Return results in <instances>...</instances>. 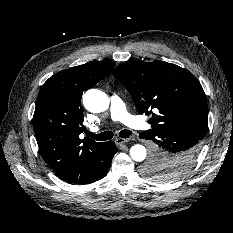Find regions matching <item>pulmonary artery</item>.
<instances>
[{
	"label": "pulmonary artery",
	"instance_id": "1",
	"mask_svg": "<svg viewBox=\"0 0 233 233\" xmlns=\"http://www.w3.org/2000/svg\"><path fill=\"white\" fill-rule=\"evenodd\" d=\"M110 113L113 121H120L123 124L140 131H145L150 128V125L138 116L131 115L127 112L122 99L113 95L110 99ZM91 131H98L97 127L91 128Z\"/></svg>",
	"mask_w": 233,
	"mask_h": 233
}]
</instances>
